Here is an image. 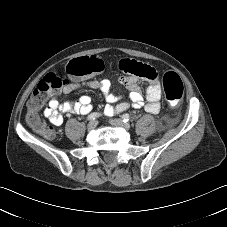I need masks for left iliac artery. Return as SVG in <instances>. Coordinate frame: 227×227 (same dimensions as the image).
<instances>
[{
	"mask_svg": "<svg viewBox=\"0 0 227 227\" xmlns=\"http://www.w3.org/2000/svg\"><path fill=\"white\" fill-rule=\"evenodd\" d=\"M123 122H128L130 120V115L129 114H124L122 116Z\"/></svg>",
	"mask_w": 227,
	"mask_h": 227,
	"instance_id": "44dca946",
	"label": "left iliac artery"
}]
</instances>
